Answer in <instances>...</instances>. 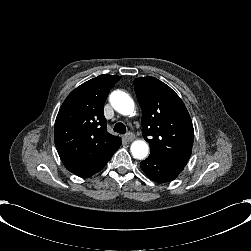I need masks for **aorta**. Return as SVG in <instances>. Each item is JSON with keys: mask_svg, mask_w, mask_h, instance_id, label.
I'll use <instances>...</instances> for the list:
<instances>
[{"mask_svg": "<svg viewBox=\"0 0 251 251\" xmlns=\"http://www.w3.org/2000/svg\"><path fill=\"white\" fill-rule=\"evenodd\" d=\"M111 103L114 109L124 116H132L135 112V104L128 94L121 90H116L111 94ZM131 154L136 159H144L149 151V145L144 140H135L130 146Z\"/></svg>", "mask_w": 251, "mask_h": 251, "instance_id": "762f6f07", "label": "aorta"}]
</instances>
